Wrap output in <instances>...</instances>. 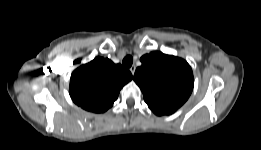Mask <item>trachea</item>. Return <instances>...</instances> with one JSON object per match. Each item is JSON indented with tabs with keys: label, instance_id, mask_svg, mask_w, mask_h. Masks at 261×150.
I'll return each mask as SVG.
<instances>
[{
	"label": "trachea",
	"instance_id": "trachea-1",
	"mask_svg": "<svg viewBox=\"0 0 261 150\" xmlns=\"http://www.w3.org/2000/svg\"><path fill=\"white\" fill-rule=\"evenodd\" d=\"M123 65L127 68L132 66L133 63V58L132 56L128 55L126 57H124L123 61H122Z\"/></svg>",
	"mask_w": 261,
	"mask_h": 150
}]
</instances>
